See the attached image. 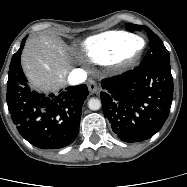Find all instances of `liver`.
<instances>
[{"instance_id": "6515ba94", "label": "liver", "mask_w": 187, "mask_h": 187, "mask_svg": "<svg viewBox=\"0 0 187 187\" xmlns=\"http://www.w3.org/2000/svg\"><path fill=\"white\" fill-rule=\"evenodd\" d=\"M21 62L31 87L45 93L64 86L72 69L68 47L46 34L33 36L26 42Z\"/></svg>"}]
</instances>
